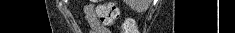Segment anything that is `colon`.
<instances>
[{"label": "colon", "instance_id": "colon-1", "mask_svg": "<svg viewBox=\"0 0 235 33\" xmlns=\"http://www.w3.org/2000/svg\"><path fill=\"white\" fill-rule=\"evenodd\" d=\"M97 14L103 24L112 25L118 18L119 10L114 3L108 2L97 7ZM123 32L137 33L135 23L132 19L125 20L123 23Z\"/></svg>", "mask_w": 235, "mask_h": 33}]
</instances>
